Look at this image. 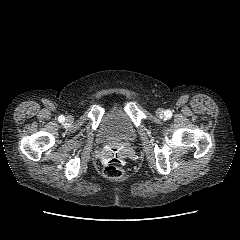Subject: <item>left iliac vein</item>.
I'll list each match as a JSON object with an SVG mask.
<instances>
[{"label": "left iliac vein", "mask_w": 240, "mask_h": 240, "mask_svg": "<svg viewBox=\"0 0 240 240\" xmlns=\"http://www.w3.org/2000/svg\"><path fill=\"white\" fill-rule=\"evenodd\" d=\"M164 113H165V111H164V109H162V108H159V109L156 110V115H157L158 117H163V116H164Z\"/></svg>", "instance_id": "obj_1"}]
</instances>
